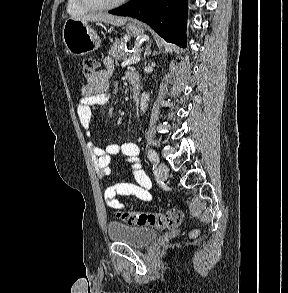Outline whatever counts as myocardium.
Listing matches in <instances>:
<instances>
[{"instance_id":"obj_1","label":"myocardium","mask_w":288,"mask_h":293,"mask_svg":"<svg viewBox=\"0 0 288 293\" xmlns=\"http://www.w3.org/2000/svg\"><path fill=\"white\" fill-rule=\"evenodd\" d=\"M79 3L89 10H108L121 6L127 0H117L114 2L104 3L97 0H78Z\"/></svg>"}]
</instances>
